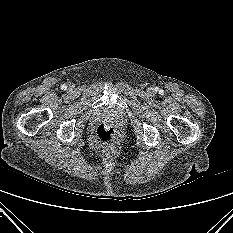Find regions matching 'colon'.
<instances>
[{"mask_svg":"<svg viewBox=\"0 0 233 233\" xmlns=\"http://www.w3.org/2000/svg\"><path fill=\"white\" fill-rule=\"evenodd\" d=\"M116 135L115 129L105 124L99 125L95 130L96 141L101 146H109L113 144Z\"/></svg>","mask_w":233,"mask_h":233,"instance_id":"1","label":"colon"}]
</instances>
